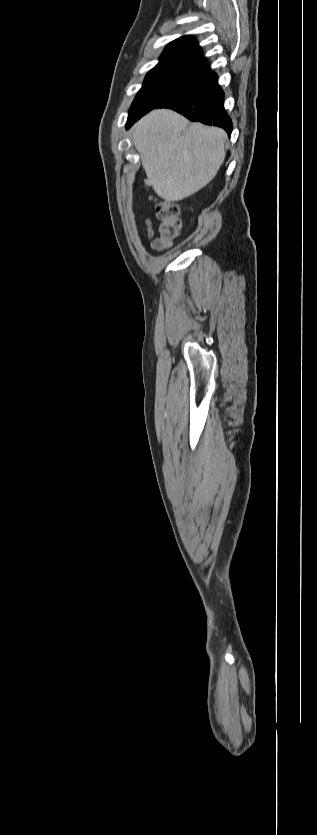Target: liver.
<instances>
[{"label": "liver", "instance_id": "6515ba94", "mask_svg": "<svg viewBox=\"0 0 317 835\" xmlns=\"http://www.w3.org/2000/svg\"><path fill=\"white\" fill-rule=\"evenodd\" d=\"M148 186L166 201H179L205 187L226 153V132L192 123L169 109H155L133 127Z\"/></svg>", "mask_w": 317, "mask_h": 835}]
</instances>
